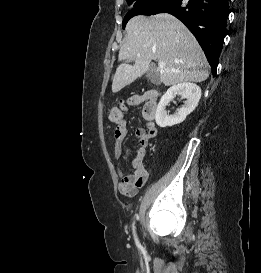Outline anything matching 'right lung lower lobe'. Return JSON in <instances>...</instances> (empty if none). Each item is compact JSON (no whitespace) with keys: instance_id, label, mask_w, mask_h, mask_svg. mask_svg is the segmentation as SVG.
Here are the masks:
<instances>
[{"instance_id":"98d812e1","label":"right lung lower lobe","mask_w":261,"mask_h":273,"mask_svg":"<svg viewBox=\"0 0 261 273\" xmlns=\"http://www.w3.org/2000/svg\"><path fill=\"white\" fill-rule=\"evenodd\" d=\"M170 13L193 33L216 74L218 58L226 34L228 0H165L143 9L140 15Z\"/></svg>"}]
</instances>
